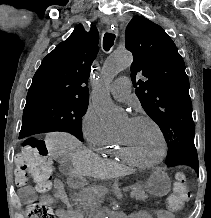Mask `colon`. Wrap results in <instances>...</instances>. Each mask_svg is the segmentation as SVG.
Listing matches in <instances>:
<instances>
[{
	"instance_id": "obj_1",
	"label": "colon",
	"mask_w": 211,
	"mask_h": 218,
	"mask_svg": "<svg viewBox=\"0 0 211 218\" xmlns=\"http://www.w3.org/2000/svg\"><path fill=\"white\" fill-rule=\"evenodd\" d=\"M53 173V162L45 141L37 137H28L15 158L17 183L23 185L31 180L38 192L46 193L52 188ZM189 197L190 191L186 175L178 173L174 193L168 200V207L178 210ZM27 215L28 218H55L52 207L41 201L30 203Z\"/></svg>"
}]
</instances>
